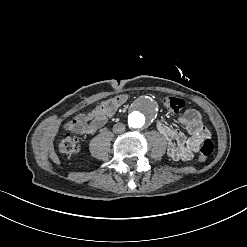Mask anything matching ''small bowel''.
Masks as SVG:
<instances>
[{"label":"small bowel","mask_w":247,"mask_h":247,"mask_svg":"<svg viewBox=\"0 0 247 247\" xmlns=\"http://www.w3.org/2000/svg\"><path fill=\"white\" fill-rule=\"evenodd\" d=\"M127 100V96L120 95ZM109 115L102 113L99 108L92 109L86 113L78 114L73 120L66 123L65 128L79 135H91L101 129ZM180 123L186 128L189 136L182 132L175 131L163 121H157L156 128L167 140L168 155L180 161H188L193 157L204 139V127L202 117L196 109L187 110L179 118Z\"/></svg>","instance_id":"c3829d8e"}]
</instances>
